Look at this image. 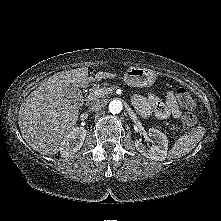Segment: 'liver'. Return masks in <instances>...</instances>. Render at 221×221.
<instances>
[{
  "label": "liver",
  "instance_id": "obj_1",
  "mask_svg": "<svg viewBox=\"0 0 221 221\" xmlns=\"http://www.w3.org/2000/svg\"><path fill=\"white\" fill-rule=\"evenodd\" d=\"M114 76L99 71L88 77V68L83 67L60 72L43 82L20 106L18 124L24 140L43 155L57 154L79 117V107L67 97L70 85L85 88L92 81Z\"/></svg>",
  "mask_w": 221,
  "mask_h": 221
}]
</instances>
